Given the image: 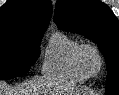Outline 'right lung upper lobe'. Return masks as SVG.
<instances>
[{"label": "right lung upper lobe", "mask_w": 119, "mask_h": 95, "mask_svg": "<svg viewBox=\"0 0 119 95\" xmlns=\"http://www.w3.org/2000/svg\"><path fill=\"white\" fill-rule=\"evenodd\" d=\"M51 14L49 0H8L0 8V35L18 30H46Z\"/></svg>", "instance_id": "cb5924a9"}]
</instances>
